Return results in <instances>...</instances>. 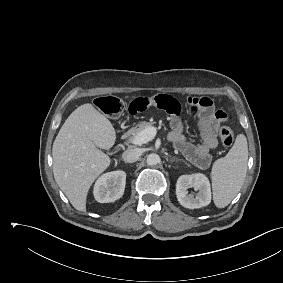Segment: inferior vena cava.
<instances>
[{
  "label": "inferior vena cava",
  "mask_w": 283,
  "mask_h": 283,
  "mask_svg": "<svg viewBox=\"0 0 283 283\" xmlns=\"http://www.w3.org/2000/svg\"><path fill=\"white\" fill-rule=\"evenodd\" d=\"M142 152L139 148H129L122 154V158L126 163H133L139 159Z\"/></svg>",
  "instance_id": "1"
}]
</instances>
